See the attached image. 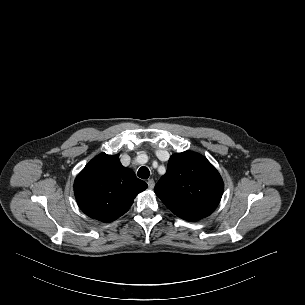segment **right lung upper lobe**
Wrapping results in <instances>:
<instances>
[{
  "label": "right lung upper lobe",
  "mask_w": 305,
  "mask_h": 305,
  "mask_svg": "<svg viewBox=\"0 0 305 305\" xmlns=\"http://www.w3.org/2000/svg\"><path fill=\"white\" fill-rule=\"evenodd\" d=\"M147 184L120 163L118 155L101 153L92 159L74 182L81 210L91 218L112 222L131 207Z\"/></svg>",
  "instance_id": "obj_1"
}]
</instances>
